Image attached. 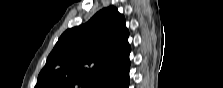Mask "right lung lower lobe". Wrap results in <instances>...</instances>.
Here are the masks:
<instances>
[{
    "label": "right lung lower lobe",
    "mask_w": 223,
    "mask_h": 88,
    "mask_svg": "<svg viewBox=\"0 0 223 88\" xmlns=\"http://www.w3.org/2000/svg\"><path fill=\"white\" fill-rule=\"evenodd\" d=\"M129 86V80L125 82L123 85H121L119 88H128Z\"/></svg>",
    "instance_id": "1"
}]
</instances>
